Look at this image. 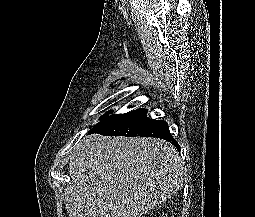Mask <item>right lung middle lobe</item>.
Here are the masks:
<instances>
[{
	"label": "right lung middle lobe",
	"mask_w": 255,
	"mask_h": 217,
	"mask_svg": "<svg viewBox=\"0 0 255 217\" xmlns=\"http://www.w3.org/2000/svg\"><path fill=\"white\" fill-rule=\"evenodd\" d=\"M109 113H106L104 116L108 115ZM104 116H102L101 118H103Z\"/></svg>",
	"instance_id": "obj_1"
}]
</instances>
